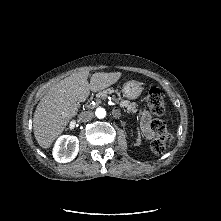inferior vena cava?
Segmentation results:
<instances>
[{
  "mask_svg": "<svg viewBox=\"0 0 221 221\" xmlns=\"http://www.w3.org/2000/svg\"><path fill=\"white\" fill-rule=\"evenodd\" d=\"M94 117V114L92 111H84L79 114L78 118L82 122L90 121Z\"/></svg>",
  "mask_w": 221,
  "mask_h": 221,
  "instance_id": "inferior-vena-cava-1",
  "label": "inferior vena cava"
}]
</instances>
